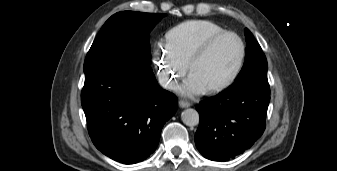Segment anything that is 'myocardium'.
Wrapping results in <instances>:
<instances>
[{
	"label": "myocardium",
	"instance_id": "f54148a6",
	"mask_svg": "<svg viewBox=\"0 0 337 171\" xmlns=\"http://www.w3.org/2000/svg\"><path fill=\"white\" fill-rule=\"evenodd\" d=\"M227 36L234 37L238 41V43L240 45V56H239V59H238V62L236 64V66L234 67L231 74L223 82L207 88V91H209V92L222 91V90L230 87L239 77V75H240V73L243 69L245 58H246V44H245L244 40L241 38V36L239 34H237L236 32H233V31H223L221 33H218V34L208 38L207 40H205L204 42H202L198 46V48L195 50V52L193 53V55L191 56V58H190V60L187 64L188 70L191 73L195 63L198 60H200L217 41H219L220 39H222L224 37H227Z\"/></svg>",
	"mask_w": 337,
	"mask_h": 171
}]
</instances>
